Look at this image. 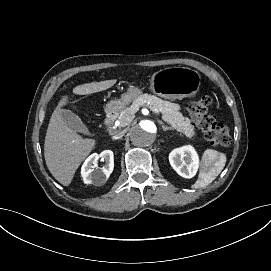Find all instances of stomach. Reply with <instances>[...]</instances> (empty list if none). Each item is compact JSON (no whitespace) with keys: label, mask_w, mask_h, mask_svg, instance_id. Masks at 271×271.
<instances>
[{"label":"stomach","mask_w":271,"mask_h":271,"mask_svg":"<svg viewBox=\"0 0 271 271\" xmlns=\"http://www.w3.org/2000/svg\"><path fill=\"white\" fill-rule=\"evenodd\" d=\"M151 91L165 99H182L195 95L201 84L200 74L187 67H168L155 72L150 81ZM142 95L141 88L130 85L127 92L121 96L119 104L110 102L108 111H120Z\"/></svg>","instance_id":"stomach-1"}]
</instances>
